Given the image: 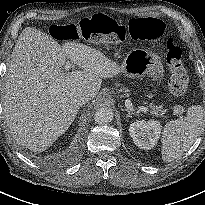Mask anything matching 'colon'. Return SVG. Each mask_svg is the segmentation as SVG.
<instances>
[{
    "label": "colon",
    "instance_id": "colon-1",
    "mask_svg": "<svg viewBox=\"0 0 205 205\" xmlns=\"http://www.w3.org/2000/svg\"><path fill=\"white\" fill-rule=\"evenodd\" d=\"M163 32L162 21L154 17H135L128 25V37L135 41H154ZM49 33L59 42L81 39L89 43L119 45L127 38L125 29L102 13L83 18L77 24H52ZM166 61L171 74L170 91L176 96H183L188 90L189 76L182 63L181 49L173 37L167 43Z\"/></svg>",
    "mask_w": 205,
    "mask_h": 205
}]
</instances>
